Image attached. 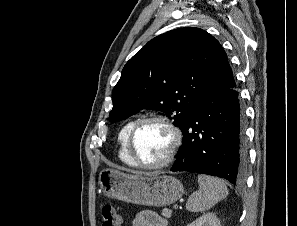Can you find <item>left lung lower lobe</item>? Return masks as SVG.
<instances>
[{
    "instance_id": "0a47b994",
    "label": "left lung lower lobe",
    "mask_w": 297,
    "mask_h": 226,
    "mask_svg": "<svg viewBox=\"0 0 297 226\" xmlns=\"http://www.w3.org/2000/svg\"><path fill=\"white\" fill-rule=\"evenodd\" d=\"M181 130L183 143L171 171L218 176L234 185L244 182V112L235 87L206 92Z\"/></svg>"
}]
</instances>
